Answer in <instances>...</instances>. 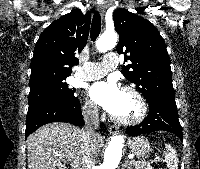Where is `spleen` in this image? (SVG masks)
Wrapping results in <instances>:
<instances>
[{
    "label": "spleen",
    "instance_id": "spleen-1",
    "mask_svg": "<svg viewBox=\"0 0 200 169\" xmlns=\"http://www.w3.org/2000/svg\"><path fill=\"white\" fill-rule=\"evenodd\" d=\"M166 151L164 152L167 166L169 169H178V158L176 150L170 145L166 144Z\"/></svg>",
    "mask_w": 200,
    "mask_h": 169
}]
</instances>
